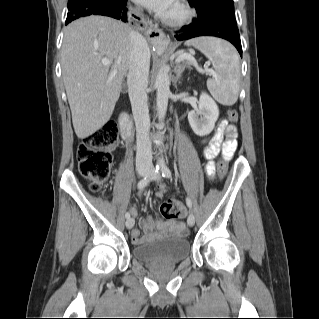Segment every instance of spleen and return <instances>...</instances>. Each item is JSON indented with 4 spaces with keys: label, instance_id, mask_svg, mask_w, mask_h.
I'll use <instances>...</instances> for the list:
<instances>
[{
    "label": "spleen",
    "instance_id": "1",
    "mask_svg": "<svg viewBox=\"0 0 319 319\" xmlns=\"http://www.w3.org/2000/svg\"><path fill=\"white\" fill-rule=\"evenodd\" d=\"M185 45L200 50L212 62L215 75L207 80V88L213 98L222 105L235 104L239 95L240 65L234 47L215 37L191 39Z\"/></svg>",
    "mask_w": 319,
    "mask_h": 319
}]
</instances>
